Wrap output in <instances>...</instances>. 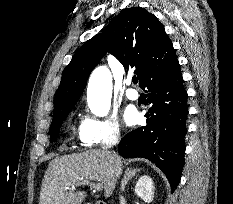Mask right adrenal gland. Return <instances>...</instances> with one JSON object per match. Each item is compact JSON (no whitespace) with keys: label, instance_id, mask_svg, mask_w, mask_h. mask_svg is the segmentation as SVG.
Listing matches in <instances>:
<instances>
[{"label":"right adrenal gland","instance_id":"obj_1","mask_svg":"<svg viewBox=\"0 0 233 204\" xmlns=\"http://www.w3.org/2000/svg\"><path fill=\"white\" fill-rule=\"evenodd\" d=\"M139 171H140V169H129V168L125 171L124 178H123L122 181H121V188H120V191H121V192L124 191L125 186H126V184L128 183V181H129L132 177H134L135 174H136L137 172H139Z\"/></svg>","mask_w":233,"mask_h":204}]
</instances>
